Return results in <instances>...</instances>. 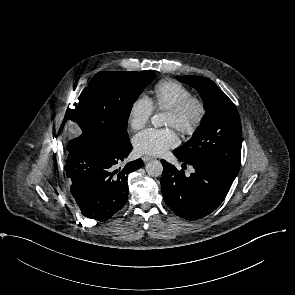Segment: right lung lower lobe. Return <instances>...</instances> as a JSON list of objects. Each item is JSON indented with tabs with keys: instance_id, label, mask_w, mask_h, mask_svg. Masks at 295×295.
<instances>
[{
	"instance_id": "1",
	"label": "right lung lower lobe",
	"mask_w": 295,
	"mask_h": 295,
	"mask_svg": "<svg viewBox=\"0 0 295 295\" xmlns=\"http://www.w3.org/2000/svg\"><path fill=\"white\" fill-rule=\"evenodd\" d=\"M67 150L65 170L82 214L98 221L109 219L124 207L129 194L128 175L141 168L143 161L137 159L116 169L132 151L131 143L113 147L87 139Z\"/></svg>"
}]
</instances>
